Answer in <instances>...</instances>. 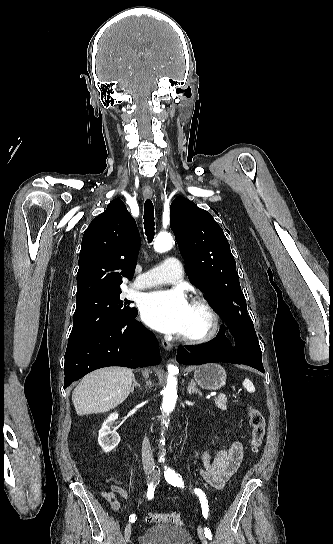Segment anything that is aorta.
Here are the masks:
<instances>
[{
    "instance_id": "762f6f07",
    "label": "aorta",
    "mask_w": 333,
    "mask_h": 544,
    "mask_svg": "<svg viewBox=\"0 0 333 544\" xmlns=\"http://www.w3.org/2000/svg\"><path fill=\"white\" fill-rule=\"evenodd\" d=\"M173 246V238L169 233H160L155 239L154 249L158 253H163L169 250ZM178 369L174 365H168V378L166 387L163 390V403L162 409L165 413L171 412L176 404L177 400V379L175 374H177ZM163 439V437H162Z\"/></svg>"
}]
</instances>
